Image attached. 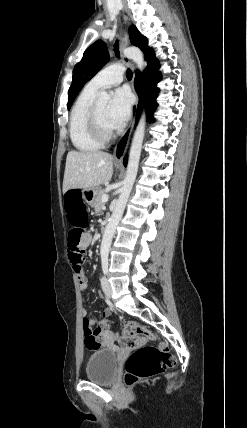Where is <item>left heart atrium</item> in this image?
I'll list each match as a JSON object with an SVG mask.
<instances>
[{"label":"left heart atrium","instance_id":"obj_1","mask_svg":"<svg viewBox=\"0 0 247 428\" xmlns=\"http://www.w3.org/2000/svg\"><path fill=\"white\" fill-rule=\"evenodd\" d=\"M132 98L125 88L117 89L108 105L106 117L110 127L115 130L124 126L130 116Z\"/></svg>","mask_w":247,"mask_h":428}]
</instances>
